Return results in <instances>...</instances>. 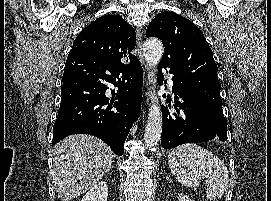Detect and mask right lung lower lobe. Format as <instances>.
<instances>
[{
    "mask_svg": "<svg viewBox=\"0 0 271 201\" xmlns=\"http://www.w3.org/2000/svg\"><path fill=\"white\" fill-rule=\"evenodd\" d=\"M62 81L52 145L71 134H90L121 156L141 109L143 74L139 60L124 64L70 55ZM109 84L118 87L117 91L111 89V96Z\"/></svg>",
    "mask_w": 271,
    "mask_h": 201,
    "instance_id": "right-lung-lower-lobe-1",
    "label": "right lung lower lobe"
}]
</instances>
